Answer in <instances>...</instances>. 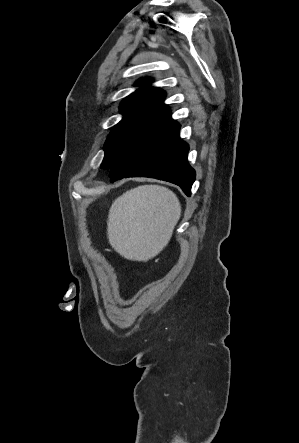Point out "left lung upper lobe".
Returning a JSON list of instances; mask_svg holds the SVG:
<instances>
[{
	"label": "left lung upper lobe",
	"instance_id": "1",
	"mask_svg": "<svg viewBox=\"0 0 299 443\" xmlns=\"http://www.w3.org/2000/svg\"><path fill=\"white\" fill-rule=\"evenodd\" d=\"M151 78L136 82L140 88L126 97L120 105L123 119L113 128L105 145V157L100 166L111 169L127 150L168 111L165 91L150 86Z\"/></svg>",
	"mask_w": 299,
	"mask_h": 443
}]
</instances>
